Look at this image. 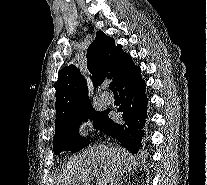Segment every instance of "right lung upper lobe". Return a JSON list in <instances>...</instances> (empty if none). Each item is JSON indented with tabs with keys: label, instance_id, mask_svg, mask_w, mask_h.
Here are the masks:
<instances>
[{
	"label": "right lung upper lobe",
	"instance_id": "1",
	"mask_svg": "<svg viewBox=\"0 0 207 185\" xmlns=\"http://www.w3.org/2000/svg\"><path fill=\"white\" fill-rule=\"evenodd\" d=\"M87 68L94 78V87L101 85L106 77L117 85L140 72L122 46H116L114 40L101 30L87 50ZM92 110L84 77L74 65L64 67L59 72L56 86L55 128Z\"/></svg>",
	"mask_w": 207,
	"mask_h": 185
}]
</instances>
